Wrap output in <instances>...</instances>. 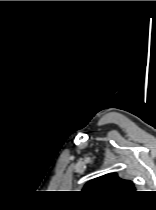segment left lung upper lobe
I'll list each match as a JSON object with an SVG mask.
<instances>
[{"instance_id": "5c2ea615", "label": "left lung upper lobe", "mask_w": 156, "mask_h": 210, "mask_svg": "<svg viewBox=\"0 0 156 210\" xmlns=\"http://www.w3.org/2000/svg\"><path fill=\"white\" fill-rule=\"evenodd\" d=\"M85 191L125 195L135 191L134 184L129 180L121 179L116 173L106 174L89 181Z\"/></svg>"}]
</instances>
